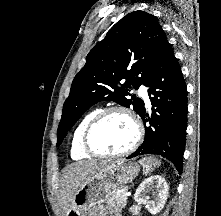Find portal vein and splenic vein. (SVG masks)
Here are the masks:
<instances>
[{
    "label": "portal vein and splenic vein",
    "mask_w": 221,
    "mask_h": 216,
    "mask_svg": "<svg viewBox=\"0 0 221 216\" xmlns=\"http://www.w3.org/2000/svg\"><path fill=\"white\" fill-rule=\"evenodd\" d=\"M125 195H126V196H128V195H129V193H128V192H125Z\"/></svg>",
    "instance_id": "obj_1"
}]
</instances>
